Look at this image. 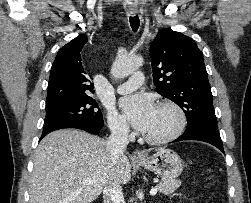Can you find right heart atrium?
Listing matches in <instances>:
<instances>
[{"label":"right heart atrium","mask_w":251,"mask_h":203,"mask_svg":"<svg viewBox=\"0 0 251 203\" xmlns=\"http://www.w3.org/2000/svg\"><path fill=\"white\" fill-rule=\"evenodd\" d=\"M108 126L111 132L120 137L127 136L129 133V127L126 120L114 110L108 112Z\"/></svg>","instance_id":"1"}]
</instances>
